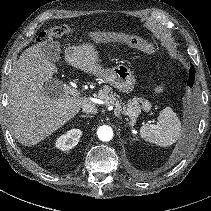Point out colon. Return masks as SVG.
<instances>
[{
	"label": "colon",
	"instance_id": "obj_1",
	"mask_svg": "<svg viewBox=\"0 0 211 211\" xmlns=\"http://www.w3.org/2000/svg\"><path fill=\"white\" fill-rule=\"evenodd\" d=\"M71 28L66 25L55 26L48 30L42 31L39 33L36 42L40 45L46 44L51 41L54 37H60L64 35H69L71 33ZM164 88L162 86H158L155 91L156 93H162Z\"/></svg>",
	"mask_w": 211,
	"mask_h": 211
}]
</instances>
